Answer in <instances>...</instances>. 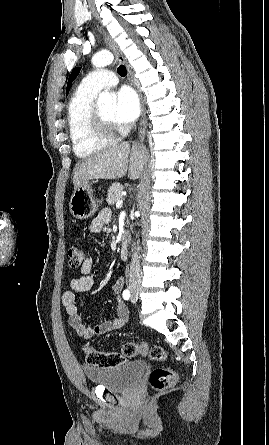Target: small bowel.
I'll return each mask as SVG.
<instances>
[{"mask_svg":"<svg viewBox=\"0 0 269 445\" xmlns=\"http://www.w3.org/2000/svg\"><path fill=\"white\" fill-rule=\"evenodd\" d=\"M110 219V211L107 209L102 210L98 216L91 221L89 230L94 234L100 233ZM93 265L94 261L92 258L85 259L80 268L79 277L71 280L70 290L65 291L62 295V304L68 315V323L70 327L75 330L78 335L84 338L100 336L112 330L119 329L123 327L129 319V311L120 299V293L124 287L125 279L119 277L112 285V293L117 298L116 316L113 319L92 326H87L83 322L76 305L75 294L88 292L94 287L95 279L92 275Z\"/></svg>","mask_w":269,"mask_h":445,"instance_id":"small-bowel-1","label":"small bowel"}]
</instances>
